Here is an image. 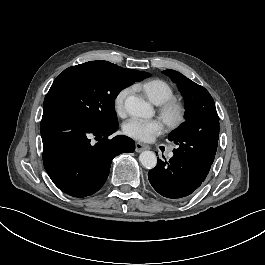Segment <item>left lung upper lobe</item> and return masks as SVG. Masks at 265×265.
<instances>
[{
	"label": "left lung upper lobe",
	"mask_w": 265,
	"mask_h": 265,
	"mask_svg": "<svg viewBox=\"0 0 265 265\" xmlns=\"http://www.w3.org/2000/svg\"><path fill=\"white\" fill-rule=\"evenodd\" d=\"M163 73L178 85L185 100V119L169 134V140L178 145L173 153L189 164L209 171L215 158L219 117L209 92L181 73L165 70Z\"/></svg>",
	"instance_id": "obj_1"
}]
</instances>
